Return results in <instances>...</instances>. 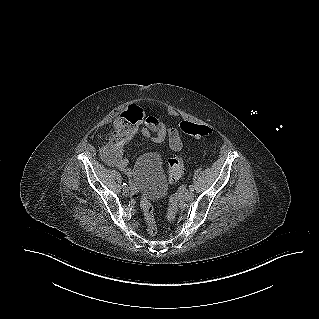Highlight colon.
Here are the masks:
<instances>
[{
  "mask_svg": "<svg viewBox=\"0 0 319 319\" xmlns=\"http://www.w3.org/2000/svg\"><path fill=\"white\" fill-rule=\"evenodd\" d=\"M185 134V135H181ZM190 138L207 142L212 137V130L207 124H198L196 121H188L186 118H178L175 125L164 123L156 131L158 142L164 146L180 148L184 146ZM170 182H179L184 176L183 160L178 155H173L163 161ZM141 209L144 215L146 231L154 236L157 233V225L154 217V208L147 197L141 200Z\"/></svg>",
  "mask_w": 319,
  "mask_h": 319,
  "instance_id": "5ec220e1",
  "label": "colon"
}]
</instances>
